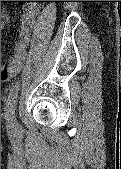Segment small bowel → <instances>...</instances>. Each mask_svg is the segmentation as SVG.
I'll use <instances>...</instances> for the list:
<instances>
[{
    "label": "small bowel",
    "mask_w": 121,
    "mask_h": 169,
    "mask_svg": "<svg viewBox=\"0 0 121 169\" xmlns=\"http://www.w3.org/2000/svg\"><path fill=\"white\" fill-rule=\"evenodd\" d=\"M37 8L35 5L28 3L23 6L19 17V26L17 30L18 40L13 55L2 64L1 80L6 81L16 75L23 67L24 61L28 55V48L31 42V30L35 26V15ZM3 22L9 21V15L5 8H2Z\"/></svg>",
    "instance_id": "c3829d8e"
}]
</instances>
